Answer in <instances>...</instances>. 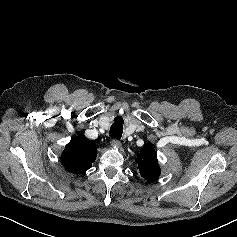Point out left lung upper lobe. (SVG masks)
<instances>
[{
    "mask_svg": "<svg viewBox=\"0 0 237 237\" xmlns=\"http://www.w3.org/2000/svg\"><path fill=\"white\" fill-rule=\"evenodd\" d=\"M136 162L138 163L140 175L149 183L158 179L160 167L158 165L156 152L151 145L143 146L137 156Z\"/></svg>",
    "mask_w": 237,
    "mask_h": 237,
    "instance_id": "5c2ea615",
    "label": "left lung upper lobe"
}]
</instances>
